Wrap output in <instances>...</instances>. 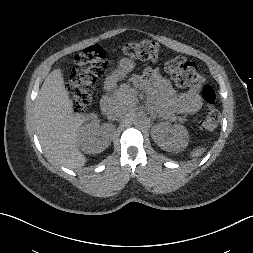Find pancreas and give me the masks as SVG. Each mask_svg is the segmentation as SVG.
Returning <instances> with one entry per match:
<instances>
[{
  "instance_id": "obj_1",
  "label": "pancreas",
  "mask_w": 253,
  "mask_h": 253,
  "mask_svg": "<svg viewBox=\"0 0 253 253\" xmlns=\"http://www.w3.org/2000/svg\"><path fill=\"white\" fill-rule=\"evenodd\" d=\"M132 99H133L132 92L129 86L126 84L121 85L117 90L113 91L112 94L108 98L110 103H118V104H123V105L130 104L132 102ZM154 108L159 113V115L165 119H170L172 121L178 120L180 122L186 121L185 118L181 116H175L169 112L161 110V108L158 106H154Z\"/></svg>"
}]
</instances>
